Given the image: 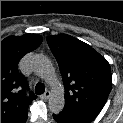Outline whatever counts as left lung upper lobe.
I'll return each mask as SVG.
<instances>
[{
	"label": "left lung upper lobe",
	"instance_id": "5c2ea615",
	"mask_svg": "<svg viewBox=\"0 0 123 123\" xmlns=\"http://www.w3.org/2000/svg\"><path fill=\"white\" fill-rule=\"evenodd\" d=\"M47 43L64 83L65 107L61 113L78 123H90L111 90L109 63L91 46L67 34L49 36Z\"/></svg>",
	"mask_w": 123,
	"mask_h": 123
}]
</instances>
